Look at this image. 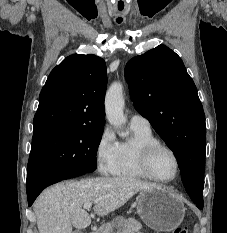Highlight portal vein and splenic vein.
I'll return each mask as SVG.
<instances>
[{
    "label": "portal vein and splenic vein",
    "mask_w": 227,
    "mask_h": 233,
    "mask_svg": "<svg viewBox=\"0 0 227 233\" xmlns=\"http://www.w3.org/2000/svg\"><path fill=\"white\" fill-rule=\"evenodd\" d=\"M94 202H95V201H94ZM94 202L85 203V204L83 205V208L86 209V210L90 209L91 206H92V204H93Z\"/></svg>",
    "instance_id": "portal-vein-and-splenic-vein-1"
}]
</instances>
